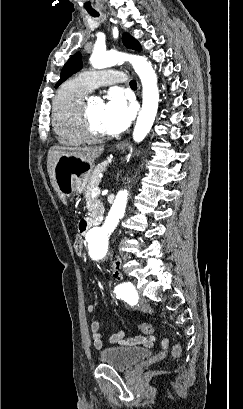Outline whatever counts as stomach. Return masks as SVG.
<instances>
[{
  "label": "stomach",
  "instance_id": "stomach-1",
  "mask_svg": "<svg viewBox=\"0 0 243 409\" xmlns=\"http://www.w3.org/2000/svg\"><path fill=\"white\" fill-rule=\"evenodd\" d=\"M93 169L92 163L75 156L62 155L54 165L58 190L65 196L85 191Z\"/></svg>",
  "mask_w": 243,
  "mask_h": 409
}]
</instances>
